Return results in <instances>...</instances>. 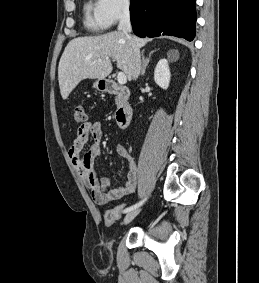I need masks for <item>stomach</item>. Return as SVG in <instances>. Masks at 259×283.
<instances>
[{
  "instance_id": "1",
  "label": "stomach",
  "mask_w": 259,
  "mask_h": 283,
  "mask_svg": "<svg viewBox=\"0 0 259 283\" xmlns=\"http://www.w3.org/2000/svg\"><path fill=\"white\" fill-rule=\"evenodd\" d=\"M93 87L98 91L104 92L106 91L107 83L105 80L98 79L93 83Z\"/></svg>"
}]
</instances>
